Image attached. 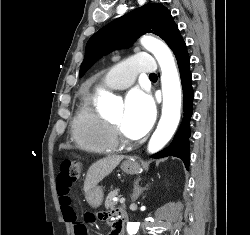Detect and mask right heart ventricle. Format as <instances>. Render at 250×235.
<instances>
[{"instance_id":"obj_1","label":"right heart ventricle","mask_w":250,"mask_h":235,"mask_svg":"<svg viewBox=\"0 0 250 235\" xmlns=\"http://www.w3.org/2000/svg\"><path fill=\"white\" fill-rule=\"evenodd\" d=\"M96 101L95 93L81 98L72 121L73 140L83 151L111 153L120 143L110 124L98 112Z\"/></svg>"}]
</instances>
